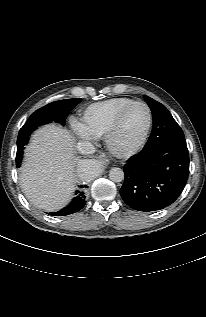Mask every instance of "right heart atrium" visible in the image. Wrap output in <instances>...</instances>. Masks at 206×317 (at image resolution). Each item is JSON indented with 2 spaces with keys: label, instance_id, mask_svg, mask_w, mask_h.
I'll use <instances>...</instances> for the list:
<instances>
[{
  "label": "right heart atrium",
  "instance_id": "d8ad5b80",
  "mask_svg": "<svg viewBox=\"0 0 206 317\" xmlns=\"http://www.w3.org/2000/svg\"><path fill=\"white\" fill-rule=\"evenodd\" d=\"M72 129L74 134L81 139H89L92 136L89 135V133L83 128V126L79 123H73Z\"/></svg>",
  "mask_w": 206,
  "mask_h": 317
}]
</instances>
